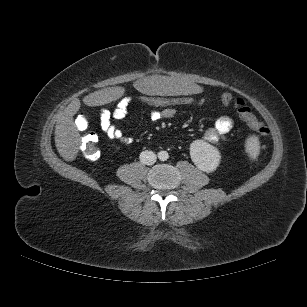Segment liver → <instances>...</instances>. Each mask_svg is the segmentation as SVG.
I'll return each mask as SVG.
<instances>
[{
  "label": "liver",
  "mask_w": 307,
  "mask_h": 307,
  "mask_svg": "<svg viewBox=\"0 0 307 307\" xmlns=\"http://www.w3.org/2000/svg\"><path fill=\"white\" fill-rule=\"evenodd\" d=\"M138 93L195 95L200 85L195 80H179L167 76H155L150 79L138 78L133 83ZM124 93V88L114 87L90 93L83 98L87 106H99L115 101ZM80 100L75 99L59 114L55 126V144L61 157L73 161L79 151L80 134L74 124L73 116L80 109Z\"/></svg>",
  "instance_id": "6515ba94"
}]
</instances>
